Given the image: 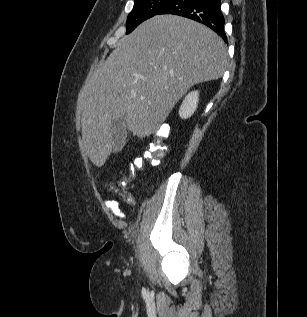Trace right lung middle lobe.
Listing matches in <instances>:
<instances>
[{
  "label": "right lung middle lobe",
  "mask_w": 307,
  "mask_h": 317,
  "mask_svg": "<svg viewBox=\"0 0 307 317\" xmlns=\"http://www.w3.org/2000/svg\"><path fill=\"white\" fill-rule=\"evenodd\" d=\"M172 0H134V7L127 17V34L140 23L159 14Z\"/></svg>",
  "instance_id": "dd1d6c3e"
}]
</instances>
